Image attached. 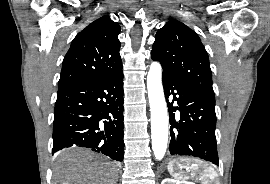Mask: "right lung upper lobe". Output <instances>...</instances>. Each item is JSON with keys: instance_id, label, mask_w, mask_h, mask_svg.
Listing matches in <instances>:
<instances>
[{"instance_id": "right-lung-upper-lobe-1", "label": "right lung upper lobe", "mask_w": 270, "mask_h": 184, "mask_svg": "<svg viewBox=\"0 0 270 184\" xmlns=\"http://www.w3.org/2000/svg\"><path fill=\"white\" fill-rule=\"evenodd\" d=\"M120 26L108 15L83 29L63 60L58 88L106 77L122 69Z\"/></svg>"}]
</instances>
